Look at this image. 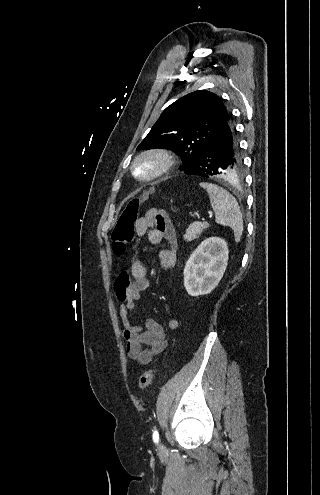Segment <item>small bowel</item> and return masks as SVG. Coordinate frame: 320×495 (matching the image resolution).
Masks as SVG:
<instances>
[{"instance_id": "obj_1", "label": "small bowel", "mask_w": 320, "mask_h": 495, "mask_svg": "<svg viewBox=\"0 0 320 495\" xmlns=\"http://www.w3.org/2000/svg\"><path fill=\"white\" fill-rule=\"evenodd\" d=\"M135 232L138 238L147 236L153 245L167 240L169 249L159 251V260L162 269L170 270L176 263V231L174 225L162 209L152 208L135 222ZM149 285L145 265L134 257L131 262L130 273L123 271L116 279V296L120 305V316L123 320V338L129 358L139 364L148 365L154 357L163 353L168 341L163 326L152 318H147L143 326L135 325L132 316L141 292ZM177 319H170L167 327L170 330L179 328Z\"/></svg>"}]
</instances>
